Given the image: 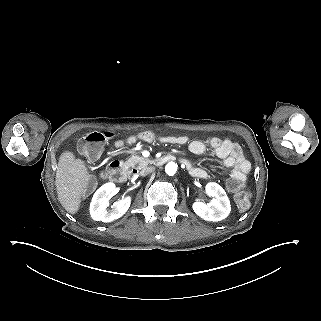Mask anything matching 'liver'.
I'll return each instance as SVG.
<instances>
[{
	"label": "liver",
	"mask_w": 321,
	"mask_h": 321,
	"mask_svg": "<svg viewBox=\"0 0 321 321\" xmlns=\"http://www.w3.org/2000/svg\"><path fill=\"white\" fill-rule=\"evenodd\" d=\"M91 181L89 170L82 159L65 150L59 157L55 185L62 207L71 215L80 210L83 196Z\"/></svg>",
	"instance_id": "obj_1"
}]
</instances>
